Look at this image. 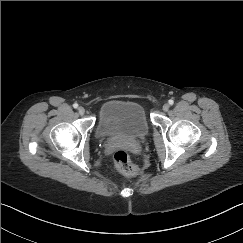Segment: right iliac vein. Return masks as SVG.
Masks as SVG:
<instances>
[{
    "label": "right iliac vein",
    "instance_id": "63e3f726",
    "mask_svg": "<svg viewBox=\"0 0 243 243\" xmlns=\"http://www.w3.org/2000/svg\"><path fill=\"white\" fill-rule=\"evenodd\" d=\"M78 112H79V114L83 115V114L85 113V109H84V107L80 106V107L78 108Z\"/></svg>",
    "mask_w": 243,
    "mask_h": 243
}]
</instances>
